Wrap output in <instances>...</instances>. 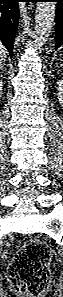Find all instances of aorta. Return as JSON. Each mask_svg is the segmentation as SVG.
<instances>
[{
    "instance_id": "obj_1",
    "label": "aorta",
    "mask_w": 63,
    "mask_h": 297,
    "mask_svg": "<svg viewBox=\"0 0 63 297\" xmlns=\"http://www.w3.org/2000/svg\"><path fill=\"white\" fill-rule=\"evenodd\" d=\"M55 3L54 2H38L35 16V36L34 43L36 47H42L54 27L55 21Z\"/></svg>"
}]
</instances>
